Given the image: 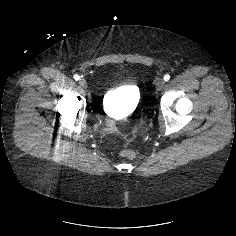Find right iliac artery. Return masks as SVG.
Segmentation results:
<instances>
[{"mask_svg":"<svg viewBox=\"0 0 236 236\" xmlns=\"http://www.w3.org/2000/svg\"><path fill=\"white\" fill-rule=\"evenodd\" d=\"M73 78H74L76 81H78V80L80 79V76H79L78 74H75V75L73 76Z\"/></svg>","mask_w":236,"mask_h":236,"instance_id":"right-iliac-artery-1","label":"right iliac artery"}]
</instances>
